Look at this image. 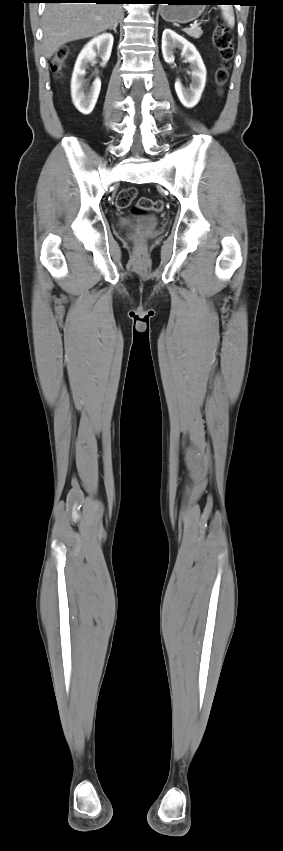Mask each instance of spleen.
I'll list each match as a JSON object with an SVG mask.
<instances>
[{"label": "spleen", "instance_id": "3e777b00", "mask_svg": "<svg viewBox=\"0 0 283 851\" xmlns=\"http://www.w3.org/2000/svg\"><path fill=\"white\" fill-rule=\"evenodd\" d=\"M221 10L224 19L227 21L228 25L233 28L235 25V17L232 6H222Z\"/></svg>", "mask_w": 283, "mask_h": 851}]
</instances>
